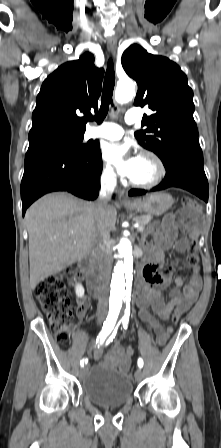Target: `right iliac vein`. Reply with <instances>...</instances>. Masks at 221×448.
<instances>
[{"instance_id":"1","label":"right iliac vein","mask_w":221,"mask_h":448,"mask_svg":"<svg viewBox=\"0 0 221 448\" xmlns=\"http://www.w3.org/2000/svg\"><path fill=\"white\" fill-rule=\"evenodd\" d=\"M87 370H88L87 367H82V368L79 370V377H80L81 379L85 376Z\"/></svg>"}]
</instances>
